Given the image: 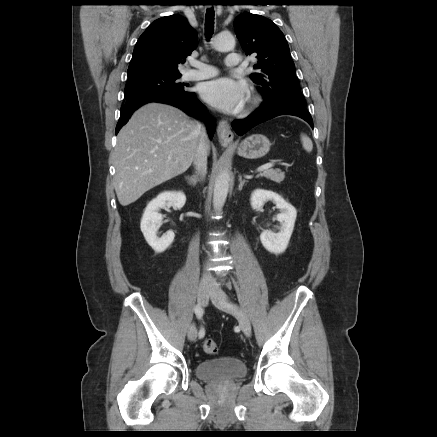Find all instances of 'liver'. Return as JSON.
I'll use <instances>...</instances> for the list:
<instances>
[{
	"label": "liver",
	"instance_id": "6515ba94",
	"mask_svg": "<svg viewBox=\"0 0 437 437\" xmlns=\"http://www.w3.org/2000/svg\"><path fill=\"white\" fill-rule=\"evenodd\" d=\"M199 140V123L173 106L148 103L136 110L119 131L113 152L119 203L127 206L184 173L194 161Z\"/></svg>",
	"mask_w": 437,
	"mask_h": 437
}]
</instances>
